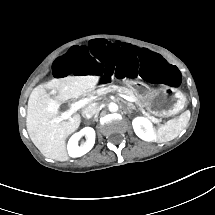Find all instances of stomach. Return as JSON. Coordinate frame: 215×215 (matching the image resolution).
Wrapping results in <instances>:
<instances>
[{
    "instance_id": "1",
    "label": "stomach",
    "mask_w": 215,
    "mask_h": 215,
    "mask_svg": "<svg viewBox=\"0 0 215 215\" xmlns=\"http://www.w3.org/2000/svg\"><path fill=\"white\" fill-rule=\"evenodd\" d=\"M129 90L146 107V109L162 117L179 113L185 106L184 94L174 88H150L144 83H131Z\"/></svg>"
}]
</instances>
